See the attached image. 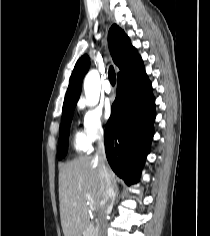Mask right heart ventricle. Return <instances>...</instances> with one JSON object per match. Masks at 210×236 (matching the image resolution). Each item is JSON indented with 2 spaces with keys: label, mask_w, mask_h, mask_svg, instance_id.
<instances>
[{
  "label": "right heart ventricle",
  "mask_w": 210,
  "mask_h": 236,
  "mask_svg": "<svg viewBox=\"0 0 210 236\" xmlns=\"http://www.w3.org/2000/svg\"><path fill=\"white\" fill-rule=\"evenodd\" d=\"M72 145L76 152L86 153L91 150V144L85 138L83 132L78 129H74L72 135Z\"/></svg>",
  "instance_id": "obj_1"
}]
</instances>
